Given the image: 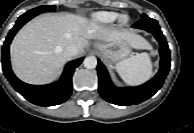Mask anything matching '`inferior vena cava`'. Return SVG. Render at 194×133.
I'll return each mask as SVG.
<instances>
[{
  "instance_id": "obj_1",
  "label": "inferior vena cava",
  "mask_w": 194,
  "mask_h": 133,
  "mask_svg": "<svg viewBox=\"0 0 194 133\" xmlns=\"http://www.w3.org/2000/svg\"><path fill=\"white\" fill-rule=\"evenodd\" d=\"M64 53L67 57H72L74 55H77L78 54V49L76 46L74 45H68L66 46L65 50H64Z\"/></svg>"
}]
</instances>
